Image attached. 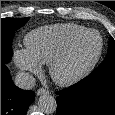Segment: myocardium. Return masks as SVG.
Segmentation results:
<instances>
[{"label": "myocardium", "instance_id": "1", "mask_svg": "<svg viewBox=\"0 0 115 115\" xmlns=\"http://www.w3.org/2000/svg\"><path fill=\"white\" fill-rule=\"evenodd\" d=\"M90 34L99 38V47L96 54L88 61L71 67L74 51L81 40ZM104 48V41L99 31L87 29L75 36L66 47L49 63V73L55 83L61 86L73 85L86 77L98 63Z\"/></svg>", "mask_w": 115, "mask_h": 115}]
</instances>
